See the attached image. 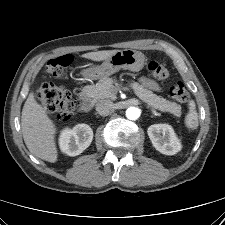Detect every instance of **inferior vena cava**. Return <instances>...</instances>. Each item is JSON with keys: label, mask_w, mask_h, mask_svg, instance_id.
Listing matches in <instances>:
<instances>
[{"label": "inferior vena cava", "mask_w": 225, "mask_h": 225, "mask_svg": "<svg viewBox=\"0 0 225 225\" xmlns=\"http://www.w3.org/2000/svg\"><path fill=\"white\" fill-rule=\"evenodd\" d=\"M114 110V104L111 101L103 100L96 104V111L102 116L109 115Z\"/></svg>", "instance_id": "602c4592"}]
</instances>
